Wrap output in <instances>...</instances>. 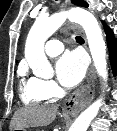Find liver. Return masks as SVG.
<instances>
[{
  "instance_id": "1",
  "label": "liver",
  "mask_w": 117,
  "mask_h": 131,
  "mask_svg": "<svg viewBox=\"0 0 117 131\" xmlns=\"http://www.w3.org/2000/svg\"><path fill=\"white\" fill-rule=\"evenodd\" d=\"M58 106H30L15 112L10 123V130L26 127L47 126L56 117Z\"/></svg>"
}]
</instances>
